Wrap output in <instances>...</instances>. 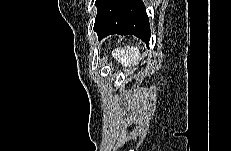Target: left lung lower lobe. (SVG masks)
Returning <instances> with one entry per match:
<instances>
[{
  "label": "left lung lower lobe",
  "mask_w": 231,
  "mask_h": 151,
  "mask_svg": "<svg viewBox=\"0 0 231 151\" xmlns=\"http://www.w3.org/2000/svg\"><path fill=\"white\" fill-rule=\"evenodd\" d=\"M94 30L99 40L110 34H132L149 46L150 23L140 0H110Z\"/></svg>",
  "instance_id": "left-lung-lower-lobe-1"
}]
</instances>
